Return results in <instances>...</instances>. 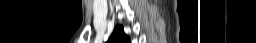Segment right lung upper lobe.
Masks as SVG:
<instances>
[{
    "instance_id": "1",
    "label": "right lung upper lobe",
    "mask_w": 256,
    "mask_h": 43,
    "mask_svg": "<svg viewBox=\"0 0 256 43\" xmlns=\"http://www.w3.org/2000/svg\"><path fill=\"white\" fill-rule=\"evenodd\" d=\"M130 39L123 31V26H116L108 43H129Z\"/></svg>"
}]
</instances>
